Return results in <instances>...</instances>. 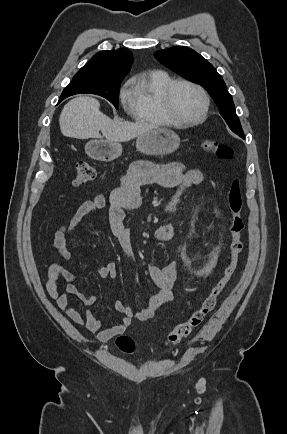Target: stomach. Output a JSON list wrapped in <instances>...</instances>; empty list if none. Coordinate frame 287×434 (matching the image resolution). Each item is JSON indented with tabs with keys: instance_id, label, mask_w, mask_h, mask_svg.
Returning <instances> with one entry per match:
<instances>
[{
	"instance_id": "obj_1",
	"label": "stomach",
	"mask_w": 287,
	"mask_h": 434,
	"mask_svg": "<svg viewBox=\"0 0 287 434\" xmlns=\"http://www.w3.org/2000/svg\"><path fill=\"white\" fill-rule=\"evenodd\" d=\"M180 145L179 136L172 130L156 127L137 137L136 148L145 155H165L174 152ZM86 153L98 161H112L122 153L118 142L92 140L86 144Z\"/></svg>"
}]
</instances>
